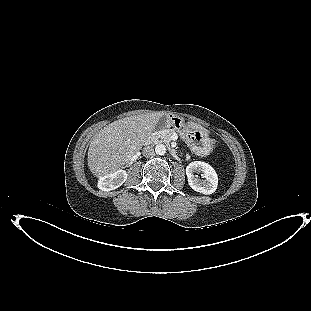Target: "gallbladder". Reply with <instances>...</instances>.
I'll return each mask as SVG.
<instances>
[{"instance_id": "1", "label": "gallbladder", "mask_w": 311, "mask_h": 311, "mask_svg": "<svg viewBox=\"0 0 311 311\" xmlns=\"http://www.w3.org/2000/svg\"><path fill=\"white\" fill-rule=\"evenodd\" d=\"M166 120H167V118H166L165 116L161 117V118L159 119V122H158V124H157V127H161V126L165 125Z\"/></svg>"}]
</instances>
